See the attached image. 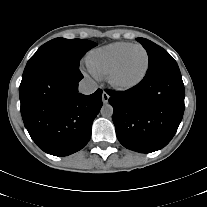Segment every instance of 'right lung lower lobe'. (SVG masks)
Masks as SVG:
<instances>
[{"instance_id":"obj_1","label":"right lung lower lobe","mask_w":207,"mask_h":207,"mask_svg":"<svg viewBox=\"0 0 207 207\" xmlns=\"http://www.w3.org/2000/svg\"><path fill=\"white\" fill-rule=\"evenodd\" d=\"M79 67L62 62L23 74L19 87L24 125L44 152L63 157L82 149L102 107V90L78 93Z\"/></svg>"}]
</instances>
